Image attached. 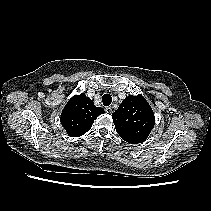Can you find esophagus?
Segmentation results:
<instances>
[{"mask_svg": "<svg viewBox=\"0 0 211 211\" xmlns=\"http://www.w3.org/2000/svg\"><path fill=\"white\" fill-rule=\"evenodd\" d=\"M105 111H106L107 113L111 114V113H112V108H111L110 106L105 107Z\"/></svg>", "mask_w": 211, "mask_h": 211, "instance_id": "obj_1", "label": "esophagus"}]
</instances>
